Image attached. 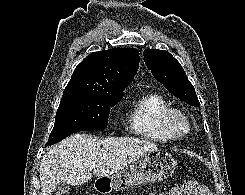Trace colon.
<instances>
[{
	"label": "colon",
	"mask_w": 245,
	"mask_h": 195,
	"mask_svg": "<svg viewBox=\"0 0 245 195\" xmlns=\"http://www.w3.org/2000/svg\"><path fill=\"white\" fill-rule=\"evenodd\" d=\"M163 195H210V192L203 184L195 180H188L164 192Z\"/></svg>",
	"instance_id": "1"
}]
</instances>
